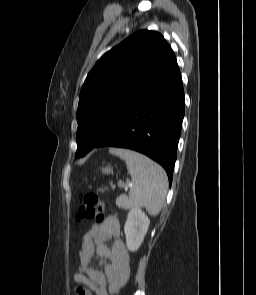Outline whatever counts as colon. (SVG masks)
Wrapping results in <instances>:
<instances>
[{
	"label": "colon",
	"instance_id": "obj_1",
	"mask_svg": "<svg viewBox=\"0 0 256 295\" xmlns=\"http://www.w3.org/2000/svg\"><path fill=\"white\" fill-rule=\"evenodd\" d=\"M106 205L94 192H88L81 200L77 213V220L95 219L101 222L104 218Z\"/></svg>",
	"mask_w": 256,
	"mask_h": 295
}]
</instances>
